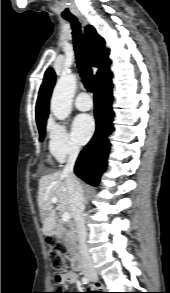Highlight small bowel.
I'll return each instance as SVG.
<instances>
[{
    "mask_svg": "<svg viewBox=\"0 0 170 293\" xmlns=\"http://www.w3.org/2000/svg\"><path fill=\"white\" fill-rule=\"evenodd\" d=\"M67 281L70 284L78 283V276L74 272H70L67 274ZM97 293V292H94Z\"/></svg>",
    "mask_w": 170,
    "mask_h": 293,
    "instance_id": "1",
    "label": "small bowel"
}]
</instances>
